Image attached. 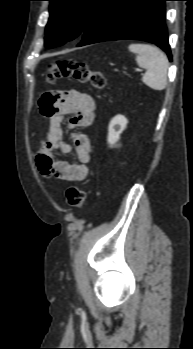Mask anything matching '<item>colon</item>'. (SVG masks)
Instances as JSON below:
<instances>
[{"mask_svg":"<svg viewBox=\"0 0 193 349\" xmlns=\"http://www.w3.org/2000/svg\"><path fill=\"white\" fill-rule=\"evenodd\" d=\"M60 78H73L78 82L89 84L95 89H103L106 86V78L102 72L92 71L88 65L73 59H59L49 66L47 79L54 82ZM59 92L47 91L42 94L39 104L45 113H52L58 101ZM68 203L75 208H82L86 195L79 187L71 186L66 191Z\"/></svg>","mask_w":193,"mask_h":349,"instance_id":"1","label":"colon"}]
</instances>
